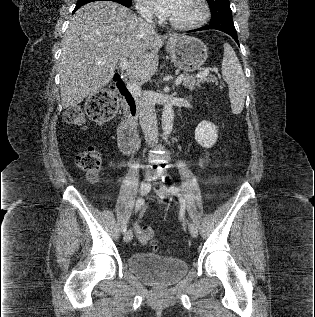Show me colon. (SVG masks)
Here are the masks:
<instances>
[{"label": "colon", "instance_id": "1", "mask_svg": "<svg viewBox=\"0 0 315 317\" xmlns=\"http://www.w3.org/2000/svg\"><path fill=\"white\" fill-rule=\"evenodd\" d=\"M118 107L116 94L112 89L101 90L92 95L86 104V113L89 118L98 122L110 120L116 113ZM67 124L75 127L85 126V115L78 106L69 107L64 113ZM76 165L83 171L86 178L96 181L99 178L102 159L99 151L89 146L79 152L75 157ZM140 240L157 249L155 232L150 226H143L140 230Z\"/></svg>", "mask_w": 315, "mask_h": 317}]
</instances>
